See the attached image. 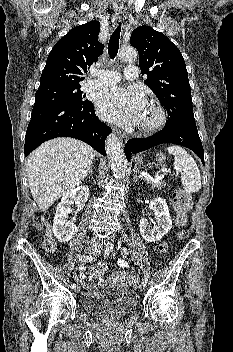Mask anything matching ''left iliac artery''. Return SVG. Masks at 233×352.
Returning <instances> with one entry per match:
<instances>
[{"mask_svg":"<svg viewBox=\"0 0 233 352\" xmlns=\"http://www.w3.org/2000/svg\"><path fill=\"white\" fill-rule=\"evenodd\" d=\"M112 251H113V247L112 246L107 247L106 250H105V257L108 256ZM147 282H148L147 278L143 277L142 278V284L146 285Z\"/></svg>","mask_w":233,"mask_h":352,"instance_id":"left-iliac-artery-1","label":"left iliac artery"}]
</instances>
